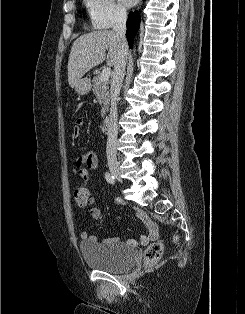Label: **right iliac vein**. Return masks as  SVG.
Masks as SVG:
<instances>
[{
	"instance_id": "63e3f726",
	"label": "right iliac vein",
	"mask_w": 245,
	"mask_h": 314,
	"mask_svg": "<svg viewBox=\"0 0 245 314\" xmlns=\"http://www.w3.org/2000/svg\"><path fill=\"white\" fill-rule=\"evenodd\" d=\"M109 169H110L112 175H113L118 181L121 182V181H122V177H121V173H120V170H119L117 164L114 163V162H110V163H109Z\"/></svg>"
}]
</instances>
